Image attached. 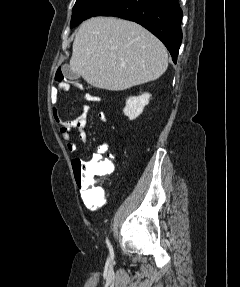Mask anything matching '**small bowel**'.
Here are the masks:
<instances>
[{"label":"small bowel","instance_id":"1","mask_svg":"<svg viewBox=\"0 0 240 287\" xmlns=\"http://www.w3.org/2000/svg\"><path fill=\"white\" fill-rule=\"evenodd\" d=\"M77 87H80L77 85ZM68 89V88H67ZM66 89V90H67ZM85 99L89 102H100L101 97L87 93L85 95ZM89 107L84 105L82 108L81 114H79L76 118L72 120H66L59 109L53 113L55 123L58 126L59 133L62 139L66 142V149L68 152L73 153L76 150V144L70 140L71 138V131L73 129L79 132V139L83 142H87V134L85 128L87 126V116H88ZM98 118L101 122L107 121V116L105 113L100 112L98 114ZM109 150V145L107 143H101L97 148L96 151L93 153L92 161L103 160V155L107 153ZM82 200L84 204L91 210H96L100 208L104 204L103 196L96 190L92 189L89 194H82Z\"/></svg>","mask_w":240,"mask_h":287}]
</instances>
